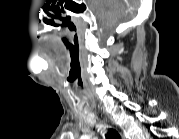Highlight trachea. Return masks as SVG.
Returning <instances> with one entry per match:
<instances>
[{"instance_id": "3493384b", "label": "trachea", "mask_w": 179, "mask_h": 139, "mask_svg": "<svg viewBox=\"0 0 179 139\" xmlns=\"http://www.w3.org/2000/svg\"><path fill=\"white\" fill-rule=\"evenodd\" d=\"M107 139H120V135L113 129H108L106 133Z\"/></svg>"}]
</instances>
